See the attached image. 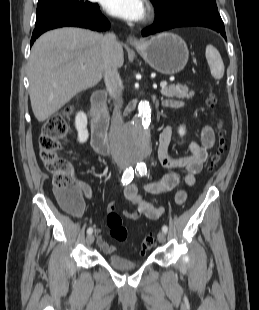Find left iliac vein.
Returning <instances> with one entry per match:
<instances>
[{"label":"left iliac vein","mask_w":259,"mask_h":310,"mask_svg":"<svg viewBox=\"0 0 259 310\" xmlns=\"http://www.w3.org/2000/svg\"><path fill=\"white\" fill-rule=\"evenodd\" d=\"M157 238H158V241L160 243H165V241H166V235H165V233L163 231L158 233Z\"/></svg>","instance_id":"obj_1"}]
</instances>
